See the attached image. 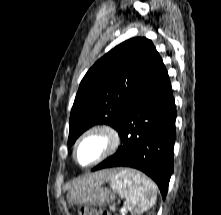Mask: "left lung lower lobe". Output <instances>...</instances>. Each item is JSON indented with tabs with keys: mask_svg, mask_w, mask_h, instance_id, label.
Listing matches in <instances>:
<instances>
[{
	"mask_svg": "<svg viewBox=\"0 0 221 215\" xmlns=\"http://www.w3.org/2000/svg\"><path fill=\"white\" fill-rule=\"evenodd\" d=\"M175 119L169 76L159 56L122 111L116 130L123 145L92 171L119 166L138 169L156 182L165 199L174 170Z\"/></svg>",
	"mask_w": 221,
	"mask_h": 215,
	"instance_id": "obj_1",
	"label": "left lung lower lobe"
}]
</instances>
